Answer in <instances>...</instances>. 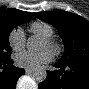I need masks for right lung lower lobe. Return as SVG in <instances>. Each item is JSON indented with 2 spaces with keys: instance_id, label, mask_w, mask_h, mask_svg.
<instances>
[{
  "instance_id": "obj_1",
  "label": "right lung lower lobe",
  "mask_w": 89,
  "mask_h": 89,
  "mask_svg": "<svg viewBox=\"0 0 89 89\" xmlns=\"http://www.w3.org/2000/svg\"><path fill=\"white\" fill-rule=\"evenodd\" d=\"M0 63V66L3 69L0 72L1 89H14L16 87V82L18 78L22 74H25L24 69L14 67L12 65L13 60L10 57L0 60Z\"/></svg>"
}]
</instances>
